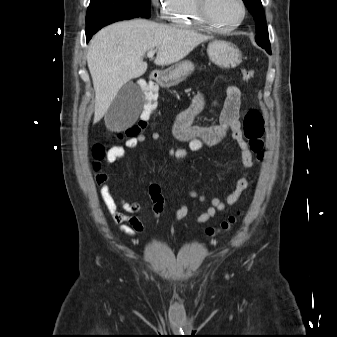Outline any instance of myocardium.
Instances as JSON below:
<instances>
[{"mask_svg": "<svg viewBox=\"0 0 337 337\" xmlns=\"http://www.w3.org/2000/svg\"><path fill=\"white\" fill-rule=\"evenodd\" d=\"M242 14L240 19L231 25H221L217 23L210 15L209 0H195L196 11L200 20L214 31L228 32L238 28L247 16V6L244 0H238Z\"/></svg>", "mask_w": 337, "mask_h": 337, "instance_id": "obj_1", "label": "myocardium"}]
</instances>
